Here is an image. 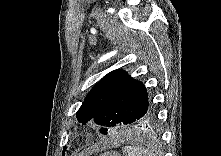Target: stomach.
<instances>
[{
    "label": "stomach",
    "mask_w": 221,
    "mask_h": 156,
    "mask_svg": "<svg viewBox=\"0 0 221 156\" xmlns=\"http://www.w3.org/2000/svg\"><path fill=\"white\" fill-rule=\"evenodd\" d=\"M99 156H121V155L116 152H113V151H111V152L108 151V152L100 154Z\"/></svg>",
    "instance_id": "obj_1"
}]
</instances>
